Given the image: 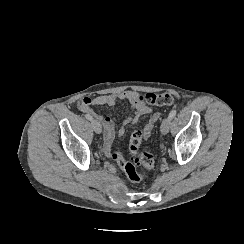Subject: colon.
I'll return each instance as SVG.
<instances>
[{"label":"colon","instance_id":"obj_1","mask_svg":"<svg viewBox=\"0 0 244 244\" xmlns=\"http://www.w3.org/2000/svg\"><path fill=\"white\" fill-rule=\"evenodd\" d=\"M137 100L147 106H170L175 103L176 98L166 92H149L138 96ZM142 143V132L135 130L131 133L129 141L130 161H126L120 151H114L111 155L113 162L131 183H140L146 179L155 163V155L151 151H139Z\"/></svg>","mask_w":244,"mask_h":244}]
</instances>
